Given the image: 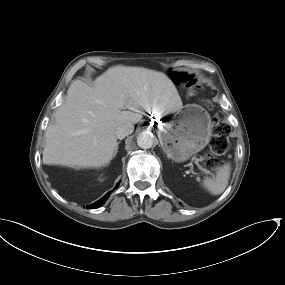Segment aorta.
<instances>
[{"instance_id": "obj_1", "label": "aorta", "mask_w": 285, "mask_h": 285, "mask_svg": "<svg viewBox=\"0 0 285 285\" xmlns=\"http://www.w3.org/2000/svg\"><path fill=\"white\" fill-rule=\"evenodd\" d=\"M154 136L149 132H142L137 137V145L142 149H149L154 144Z\"/></svg>"}]
</instances>
